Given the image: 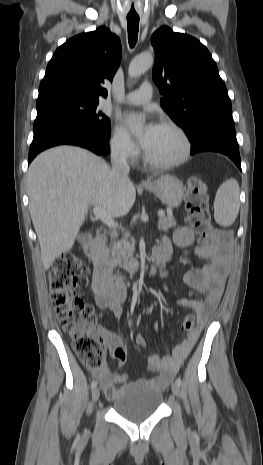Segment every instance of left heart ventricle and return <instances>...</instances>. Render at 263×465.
<instances>
[{
  "instance_id": "b2bd125f",
  "label": "left heart ventricle",
  "mask_w": 263,
  "mask_h": 465,
  "mask_svg": "<svg viewBox=\"0 0 263 465\" xmlns=\"http://www.w3.org/2000/svg\"><path fill=\"white\" fill-rule=\"evenodd\" d=\"M182 148V140L174 130L159 126L145 150L158 161H169L177 158Z\"/></svg>"
}]
</instances>
